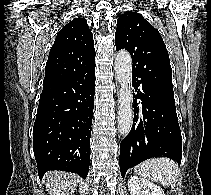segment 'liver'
Wrapping results in <instances>:
<instances>
[{"mask_svg": "<svg viewBox=\"0 0 211 195\" xmlns=\"http://www.w3.org/2000/svg\"><path fill=\"white\" fill-rule=\"evenodd\" d=\"M79 178L64 171H50L46 174V189L50 195H72Z\"/></svg>", "mask_w": 211, "mask_h": 195, "instance_id": "obj_1", "label": "liver"}]
</instances>
